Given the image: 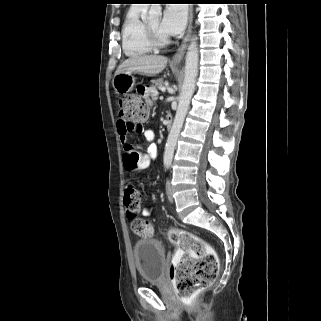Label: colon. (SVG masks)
<instances>
[{
    "label": "colon",
    "instance_id": "colon-1",
    "mask_svg": "<svg viewBox=\"0 0 321 321\" xmlns=\"http://www.w3.org/2000/svg\"><path fill=\"white\" fill-rule=\"evenodd\" d=\"M119 117L129 130L141 132L148 119V109L140 97L125 96L120 100ZM124 162L128 170H138L148 165L147 157L139 151L127 155ZM124 204L127 216L133 220V232L138 236L151 237L154 234L153 224L148 220L136 219L140 192L134 185L126 186ZM168 236L178 246L170 267L171 280L177 296L189 300L215 280L219 271L218 257L213 248L194 233L172 228Z\"/></svg>",
    "mask_w": 321,
    "mask_h": 321
}]
</instances>
